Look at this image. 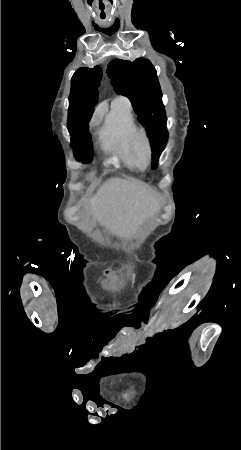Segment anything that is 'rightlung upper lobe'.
I'll return each mask as SVG.
<instances>
[{
	"instance_id": "obj_1",
	"label": "right lung upper lobe",
	"mask_w": 241,
	"mask_h": 450,
	"mask_svg": "<svg viewBox=\"0 0 241 450\" xmlns=\"http://www.w3.org/2000/svg\"><path fill=\"white\" fill-rule=\"evenodd\" d=\"M80 72L90 73V74H93V75H96V76L102 78V69H101L100 66H96V67H94L93 69L82 67V68H79V69L75 72V74L80 73ZM75 74H74V75H75Z\"/></svg>"
}]
</instances>
